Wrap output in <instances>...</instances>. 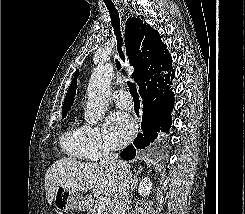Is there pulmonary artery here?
<instances>
[{
	"instance_id": "e3ab8cb5",
	"label": "pulmonary artery",
	"mask_w": 245,
	"mask_h": 214,
	"mask_svg": "<svg viewBox=\"0 0 245 214\" xmlns=\"http://www.w3.org/2000/svg\"><path fill=\"white\" fill-rule=\"evenodd\" d=\"M114 102L121 108L131 109L133 107V99L125 90L115 91L112 95Z\"/></svg>"
}]
</instances>
